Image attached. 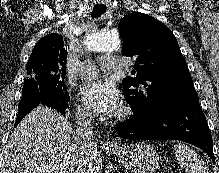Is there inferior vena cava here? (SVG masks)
I'll return each instance as SVG.
<instances>
[{"mask_svg": "<svg viewBox=\"0 0 219 173\" xmlns=\"http://www.w3.org/2000/svg\"><path fill=\"white\" fill-rule=\"evenodd\" d=\"M77 127L75 138L80 147L81 158L77 161L73 173H92L91 161L97 150L96 142L92 141L93 134L92 115L85 108H79L76 113Z\"/></svg>", "mask_w": 219, "mask_h": 173, "instance_id": "inferior-vena-cava-1", "label": "inferior vena cava"}]
</instances>
